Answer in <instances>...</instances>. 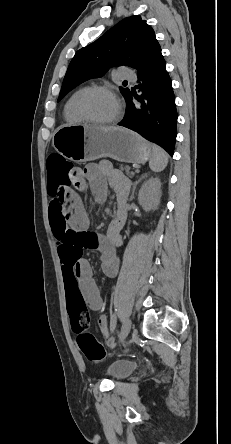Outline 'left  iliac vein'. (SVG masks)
Returning a JSON list of instances; mask_svg holds the SVG:
<instances>
[{
    "label": "left iliac vein",
    "mask_w": 231,
    "mask_h": 444,
    "mask_svg": "<svg viewBox=\"0 0 231 444\" xmlns=\"http://www.w3.org/2000/svg\"><path fill=\"white\" fill-rule=\"evenodd\" d=\"M131 326H132L131 320L129 318H127L125 320V322L123 323L121 332L119 334V338H118L119 343H123L125 341L126 337L128 336V334L131 330Z\"/></svg>",
    "instance_id": "1"
}]
</instances>
